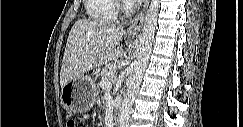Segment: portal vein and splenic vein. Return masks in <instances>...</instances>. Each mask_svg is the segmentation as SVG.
<instances>
[{"label": "portal vein and splenic vein", "mask_w": 243, "mask_h": 127, "mask_svg": "<svg viewBox=\"0 0 243 127\" xmlns=\"http://www.w3.org/2000/svg\"><path fill=\"white\" fill-rule=\"evenodd\" d=\"M114 75V74H113ZM113 75L108 78V79H105L103 81L100 82V85L104 88V87H109V85H111V82L113 81Z\"/></svg>", "instance_id": "18ae733b"}]
</instances>
